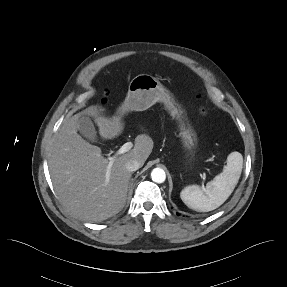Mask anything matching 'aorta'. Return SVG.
Wrapping results in <instances>:
<instances>
[{
    "instance_id": "1",
    "label": "aorta",
    "mask_w": 287,
    "mask_h": 287,
    "mask_svg": "<svg viewBox=\"0 0 287 287\" xmlns=\"http://www.w3.org/2000/svg\"><path fill=\"white\" fill-rule=\"evenodd\" d=\"M151 178L156 183H163L166 179L165 171L161 168H155L151 172Z\"/></svg>"
}]
</instances>
